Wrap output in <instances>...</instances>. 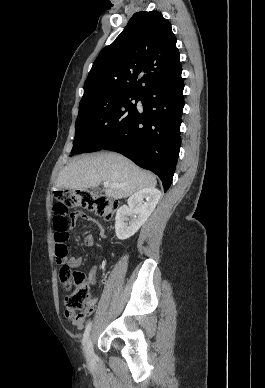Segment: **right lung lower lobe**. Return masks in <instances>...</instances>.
<instances>
[{"label": "right lung lower lobe", "instance_id": "right-lung-lower-lobe-1", "mask_svg": "<svg viewBox=\"0 0 265 388\" xmlns=\"http://www.w3.org/2000/svg\"><path fill=\"white\" fill-rule=\"evenodd\" d=\"M181 74L156 83L141 95L136 110L101 148L116 151L159 176L166 192L171 185L180 150L184 107Z\"/></svg>", "mask_w": 265, "mask_h": 388}]
</instances>
